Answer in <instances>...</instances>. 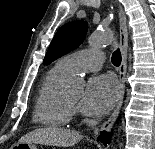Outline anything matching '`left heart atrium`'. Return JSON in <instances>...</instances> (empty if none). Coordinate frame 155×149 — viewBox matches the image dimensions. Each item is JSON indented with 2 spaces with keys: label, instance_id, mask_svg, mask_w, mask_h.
Segmentation results:
<instances>
[{
  "label": "left heart atrium",
  "instance_id": "39dd6f15",
  "mask_svg": "<svg viewBox=\"0 0 155 149\" xmlns=\"http://www.w3.org/2000/svg\"><path fill=\"white\" fill-rule=\"evenodd\" d=\"M118 94L119 87L113 76H96L87 84L80 102L81 111L89 116H104L115 104Z\"/></svg>",
  "mask_w": 155,
  "mask_h": 149
}]
</instances>
